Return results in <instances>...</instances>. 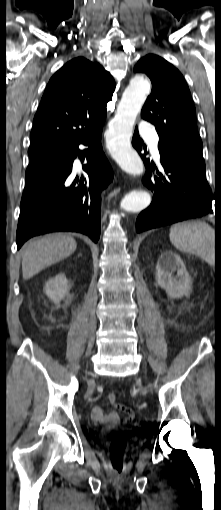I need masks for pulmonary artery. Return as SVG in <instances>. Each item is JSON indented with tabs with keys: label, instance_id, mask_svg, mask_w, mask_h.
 <instances>
[{
	"label": "pulmonary artery",
	"instance_id": "obj_1",
	"mask_svg": "<svg viewBox=\"0 0 221 510\" xmlns=\"http://www.w3.org/2000/svg\"><path fill=\"white\" fill-rule=\"evenodd\" d=\"M140 132H141L142 137L144 138V140L146 141V143L152 150V152L155 154L156 157H158L159 156V151H158L159 138H158L157 132L152 128L151 124L146 121L141 122Z\"/></svg>",
	"mask_w": 221,
	"mask_h": 510
}]
</instances>
